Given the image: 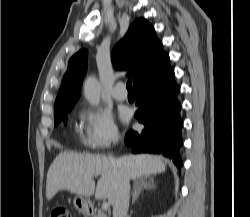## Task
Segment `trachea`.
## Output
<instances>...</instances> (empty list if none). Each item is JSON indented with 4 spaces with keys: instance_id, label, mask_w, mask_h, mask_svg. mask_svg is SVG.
<instances>
[{
    "instance_id": "trachea-1",
    "label": "trachea",
    "mask_w": 250,
    "mask_h": 217,
    "mask_svg": "<svg viewBox=\"0 0 250 217\" xmlns=\"http://www.w3.org/2000/svg\"><path fill=\"white\" fill-rule=\"evenodd\" d=\"M126 88H127L128 92H134L131 81L127 82Z\"/></svg>"
}]
</instances>
